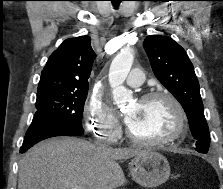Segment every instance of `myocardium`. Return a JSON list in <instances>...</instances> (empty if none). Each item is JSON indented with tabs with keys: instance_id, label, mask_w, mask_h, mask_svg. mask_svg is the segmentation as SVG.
Segmentation results:
<instances>
[{
	"instance_id": "myocardium-1",
	"label": "myocardium",
	"mask_w": 223,
	"mask_h": 189,
	"mask_svg": "<svg viewBox=\"0 0 223 189\" xmlns=\"http://www.w3.org/2000/svg\"><path fill=\"white\" fill-rule=\"evenodd\" d=\"M152 99H166L171 104L176 115L175 129L166 136L159 138H144L137 136L128 126L126 128L127 137L133 142L144 145L168 144L181 138L187 128V114L181 102L172 93L163 90L147 92L140 97L139 102H146Z\"/></svg>"
}]
</instances>
